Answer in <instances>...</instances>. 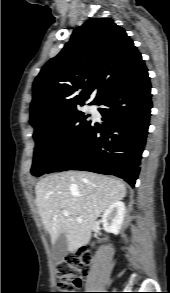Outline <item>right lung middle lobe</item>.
<instances>
[{
    "instance_id": "dd1d6c3e",
    "label": "right lung middle lobe",
    "mask_w": 170,
    "mask_h": 293,
    "mask_svg": "<svg viewBox=\"0 0 170 293\" xmlns=\"http://www.w3.org/2000/svg\"><path fill=\"white\" fill-rule=\"evenodd\" d=\"M84 113L73 108L51 121L35 128L36 142L31 173L41 176L67 151L91 121Z\"/></svg>"
}]
</instances>
